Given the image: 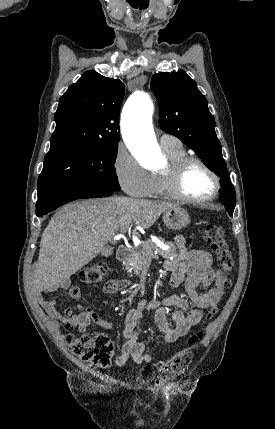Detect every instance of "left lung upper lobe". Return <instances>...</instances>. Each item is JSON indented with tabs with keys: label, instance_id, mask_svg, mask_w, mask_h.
<instances>
[{
	"label": "left lung upper lobe",
	"instance_id": "obj_1",
	"mask_svg": "<svg viewBox=\"0 0 275 429\" xmlns=\"http://www.w3.org/2000/svg\"><path fill=\"white\" fill-rule=\"evenodd\" d=\"M151 88L159 102L161 129L193 149L209 169L220 177L221 187L226 191L220 202L232 216L236 193L229 181L221 143L215 132V120L205 96L183 70L153 75Z\"/></svg>",
	"mask_w": 275,
	"mask_h": 429
}]
</instances>
